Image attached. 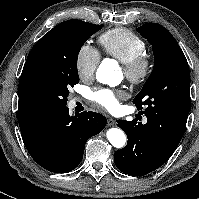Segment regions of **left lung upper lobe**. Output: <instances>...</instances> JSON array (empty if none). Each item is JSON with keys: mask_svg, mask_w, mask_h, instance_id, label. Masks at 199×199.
<instances>
[{"mask_svg": "<svg viewBox=\"0 0 199 199\" xmlns=\"http://www.w3.org/2000/svg\"><path fill=\"white\" fill-rule=\"evenodd\" d=\"M137 31L152 45L153 71L133 103L138 110L146 105H164L190 111V71L188 62L176 39L160 24L147 23Z\"/></svg>", "mask_w": 199, "mask_h": 199, "instance_id": "obj_1", "label": "left lung upper lobe"}]
</instances>
